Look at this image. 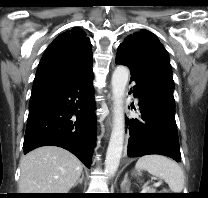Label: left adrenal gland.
Returning a JSON list of instances; mask_svg holds the SVG:
<instances>
[{"mask_svg": "<svg viewBox=\"0 0 208 198\" xmlns=\"http://www.w3.org/2000/svg\"><path fill=\"white\" fill-rule=\"evenodd\" d=\"M130 180L128 179V173L125 174L124 179L121 183V190L126 191V193H130Z\"/></svg>", "mask_w": 208, "mask_h": 198, "instance_id": "1", "label": "left adrenal gland"}]
</instances>
